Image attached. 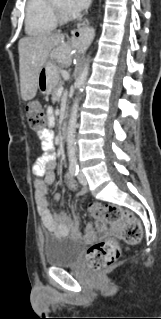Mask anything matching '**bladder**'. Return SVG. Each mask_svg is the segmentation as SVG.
<instances>
[{
	"mask_svg": "<svg viewBox=\"0 0 161 319\" xmlns=\"http://www.w3.org/2000/svg\"><path fill=\"white\" fill-rule=\"evenodd\" d=\"M84 243L73 236L45 235L43 239L44 263L47 266L67 267L78 262Z\"/></svg>",
	"mask_w": 161,
	"mask_h": 319,
	"instance_id": "31cf9c89",
	"label": "bladder"
}]
</instances>
